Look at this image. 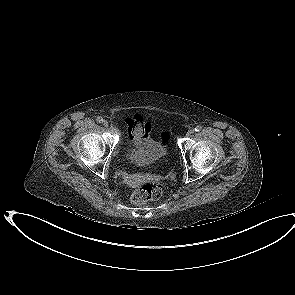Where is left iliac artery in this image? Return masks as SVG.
I'll use <instances>...</instances> for the list:
<instances>
[{"mask_svg": "<svg viewBox=\"0 0 295 295\" xmlns=\"http://www.w3.org/2000/svg\"><path fill=\"white\" fill-rule=\"evenodd\" d=\"M201 130H202V127H201L200 125H198V126L195 127V131H196V132H199V131H201Z\"/></svg>", "mask_w": 295, "mask_h": 295, "instance_id": "left-iliac-artery-1", "label": "left iliac artery"}]
</instances>
